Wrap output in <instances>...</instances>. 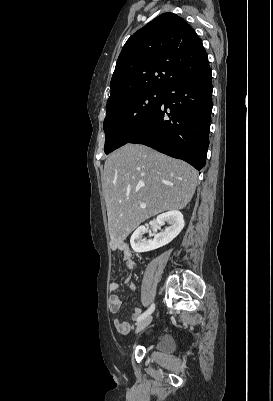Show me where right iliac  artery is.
I'll use <instances>...</instances> for the list:
<instances>
[{
  "instance_id": "right-iliac-artery-1",
  "label": "right iliac artery",
  "mask_w": 273,
  "mask_h": 401,
  "mask_svg": "<svg viewBox=\"0 0 273 401\" xmlns=\"http://www.w3.org/2000/svg\"><path fill=\"white\" fill-rule=\"evenodd\" d=\"M155 309V304H152L142 315H140L137 319V321H141L144 318H146L148 315H150Z\"/></svg>"
}]
</instances>
